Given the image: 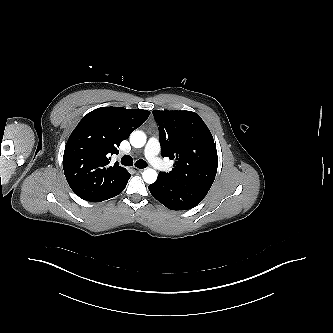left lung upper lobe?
<instances>
[{"instance_id": "left-lung-upper-lobe-1", "label": "left lung upper lobe", "mask_w": 333, "mask_h": 333, "mask_svg": "<svg viewBox=\"0 0 333 333\" xmlns=\"http://www.w3.org/2000/svg\"><path fill=\"white\" fill-rule=\"evenodd\" d=\"M161 155L175 160L172 171L160 172L175 183L209 190L216 176L218 156L213 136L201 117L192 111H160Z\"/></svg>"}]
</instances>
